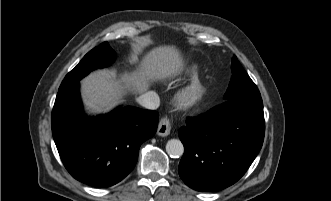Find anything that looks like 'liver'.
Masks as SVG:
<instances>
[{
    "mask_svg": "<svg viewBox=\"0 0 331 201\" xmlns=\"http://www.w3.org/2000/svg\"><path fill=\"white\" fill-rule=\"evenodd\" d=\"M182 66L177 49L172 46L156 47L144 57L138 70L125 73L121 81H116L114 71L99 70L89 74L81 81L82 97L92 112H107L118 103L123 88L144 92L149 81L176 76Z\"/></svg>",
    "mask_w": 331,
    "mask_h": 201,
    "instance_id": "liver-1",
    "label": "liver"
}]
</instances>
